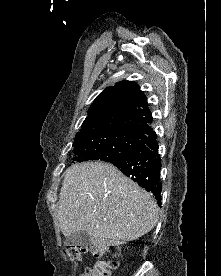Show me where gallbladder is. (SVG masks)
Listing matches in <instances>:
<instances>
[{"label": "gallbladder", "instance_id": "gallbladder-1", "mask_svg": "<svg viewBox=\"0 0 221 276\" xmlns=\"http://www.w3.org/2000/svg\"><path fill=\"white\" fill-rule=\"evenodd\" d=\"M64 244L65 246H80L87 248L91 245V241L87 231H77L67 236Z\"/></svg>", "mask_w": 221, "mask_h": 276}]
</instances>
